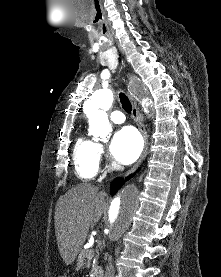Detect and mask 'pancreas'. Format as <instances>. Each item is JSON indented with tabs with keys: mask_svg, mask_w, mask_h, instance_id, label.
<instances>
[{
	"mask_svg": "<svg viewBox=\"0 0 221 277\" xmlns=\"http://www.w3.org/2000/svg\"><path fill=\"white\" fill-rule=\"evenodd\" d=\"M94 257V251L92 249L90 250H82L78 256V268H82L84 266L85 259L88 260V262L91 261V259ZM97 259V256H96ZM98 277H101V275H98Z\"/></svg>",
	"mask_w": 221,
	"mask_h": 277,
	"instance_id": "cf45deb5",
	"label": "pancreas"
}]
</instances>
